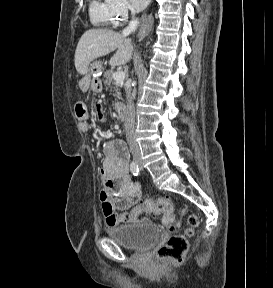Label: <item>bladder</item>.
<instances>
[{
    "label": "bladder",
    "instance_id": "bladder-1",
    "mask_svg": "<svg viewBox=\"0 0 273 288\" xmlns=\"http://www.w3.org/2000/svg\"><path fill=\"white\" fill-rule=\"evenodd\" d=\"M108 235L117 244L135 251L147 250L161 238L158 226L149 222L119 225L110 229Z\"/></svg>",
    "mask_w": 273,
    "mask_h": 288
}]
</instances>
